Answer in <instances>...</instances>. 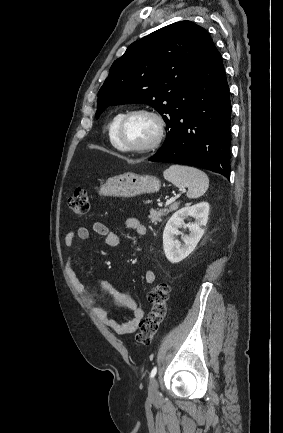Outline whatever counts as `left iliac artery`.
I'll return each mask as SVG.
<instances>
[{
  "label": "left iliac artery",
  "mask_w": 283,
  "mask_h": 433,
  "mask_svg": "<svg viewBox=\"0 0 283 433\" xmlns=\"http://www.w3.org/2000/svg\"><path fill=\"white\" fill-rule=\"evenodd\" d=\"M156 373H157V367L155 366L150 373V378H153L156 375Z\"/></svg>",
  "instance_id": "left-iliac-artery-1"
}]
</instances>
